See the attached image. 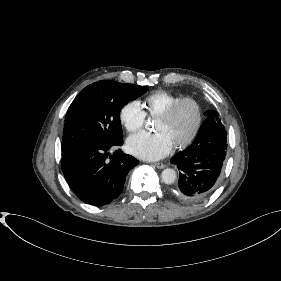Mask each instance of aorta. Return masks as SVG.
Returning <instances> with one entry per match:
<instances>
[{"instance_id": "aorta-1", "label": "aorta", "mask_w": 281, "mask_h": 281, "mask_svg": "<svg viewBox=\"0 0 281 281\" xmlns=\"http://www.w3.org/2000/svg\"><path fill=\"white\" fill-rule=\"evenodd\" d=\"M161 178L165 184H173L177 178L176 171L174 169L167 168L162 171Z\"/></svg>"}]
</instances>
